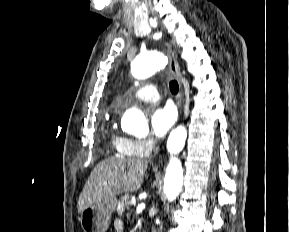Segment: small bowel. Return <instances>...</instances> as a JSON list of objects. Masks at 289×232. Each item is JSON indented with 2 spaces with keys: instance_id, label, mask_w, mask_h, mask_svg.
<instances>
[{
  "instance_id": "c3829d8e",
  "label": "small bowel",
  "mask_w": 289,
  "mask_h": 232,
  "mask_svg": "<svg viewBox=\"0 0 289 232\" xmlns=\"http://www.w3.org/2000/svg\"><path fill=\"white\" fill-rule=\"evenodd\" d=\"M115 232H123V223L120 220L114 222Z\"/></svg>"
}]
</instances>
